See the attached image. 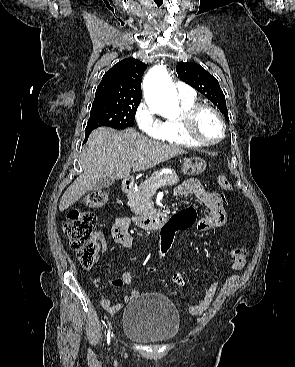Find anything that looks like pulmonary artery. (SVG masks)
Instances as JSON below:
<instances>
[{"label":"pulmonary artery","instance_id":"obj_1","mask_svg":"<svg viewBox=\"0 0 295 367\" xmlns=\"http://www.w3.org/2000/svg\"><path fill=\"white\" fill-rule=\"evenodd\" d=\"M179 98L181 100H192L195 99V91L193 88L184 84L182 82H178L176 84Z\"/></svg>","mask_w":295,"mask_h":367}]
</instances>
